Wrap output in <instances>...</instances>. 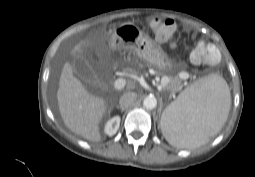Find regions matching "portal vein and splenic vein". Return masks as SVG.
Returning <instances> with one entry per match:
<instances>
[{"mask_svg":"<svg viewBox=\"0 0 255 177\" xmlns=\"http://www.w3.org/2000/svg\"><path fill=\"white\" fill-rule=\"evenodd\" d=\"M125 84H126V80L123 78H119V79L115 80L114 88L117 90H121L122 88L125 87ZM161 85L164 87L165 82H162Z\"/></svg>","mask_w":255,"mask_h":177,"instance_id":"1","label":"portal vein and splenic vein"}]
</instances>
